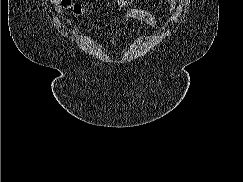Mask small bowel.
Instances as JSON below:
<instances>
[{
  "label": "small bowel",
  "mask_w": 243,
  "mask_h": 182,
  "mask_svg": "<svg viewBox=\"0 0 243 182\" xmlns=\"http://www.w3.org/2000/svg\"><path fill=\"white\" fill-rule=\"evenodd\" d=\"M125 20H137L147 24L148 26H155L156 20L154 16L148 11L140 8L129 9L125 14Z\"/></svg>",
  "instance_id": "c3829d8e"
}]
</instances>
